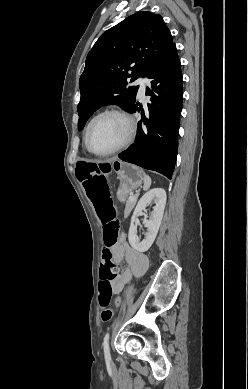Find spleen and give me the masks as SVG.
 <instances>
[{
    "instance_id": "1",
    "label": "spleen",
    "mask_w": 248,
    "mask_h": 389,
    "mask_svg": "<svg viewBox=\"0 0 248 389\" xmlns=\"http://www.w3.org/2000/svg\"><path fill=\"white\" fill-rule=\"evenodd\" d=\"M150 186H151V178L148 175L144 174V186H143V189L144 190H148L150 188Z\"/></svg>"
}]
</instances>
